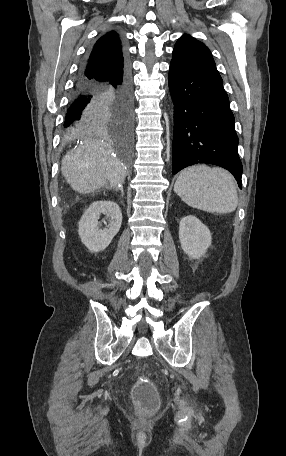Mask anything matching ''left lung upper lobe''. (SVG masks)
<instances>
[{"instance_id":"obj_1","label":"left lung upper lobe","mask_w":286,"mask_h":456,"mask_svg":"<svg viewBox=\"0 0 286 456\" xmlns=\"http://www.w3.org/2000/svg\"><path fill=\"white\" fill-rule=\"evenodd\" d=\"M172 54L173 59L171 62L206 72L222 80L208 47L195 38L189 35L180 37L175 44Z\"/></svg>"}]
</instances>
